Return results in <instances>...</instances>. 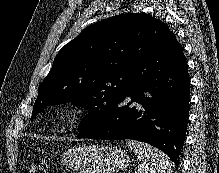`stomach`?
<instances>
[{
    "mask_svg": "<svg viewBox=\"0 0 219 173\" xmlns=\"http://www.w3.org/2000/svg\"><path fill=\"white\" fill-rule=\"evenodd\" d=\"M62 160L77 173H118L130 164L124 150L98 145L73 146L62 154Z\"/></svg>",
    "mask_w": 219,
    "mask_h": 173,
    "instance_id": "0dacf381",
    "label": "stomach"
}]
</instances>
